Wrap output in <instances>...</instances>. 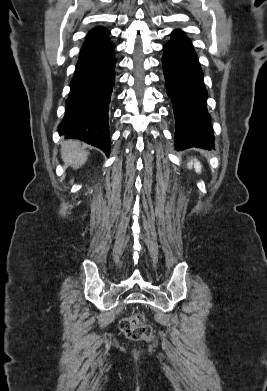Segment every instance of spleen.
<instances>
[{"instance_id": "obj_1", "label": "spleen", "mask_w": 267, "mask_h": 391, "mask_svg": "<svg viewBox=\"0 0 267 391\" xmlns=\"http://www.w3.org/2000/svg\"><path fill=\"white\" fill-rule=\"evenodd\" d=\"M187 167L189 169H192L194 168L195 171L200 174L201 173V170H202V166H201V163L197 160V159H192L188 164H187Z\"/></svg>"}]
</instances>
